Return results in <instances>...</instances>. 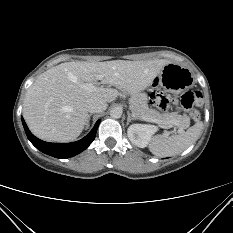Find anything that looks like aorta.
I'll use <instances>...</instances> for the list:
<instances>
[{"label": "aorta", "mask_w": 233, "mask_h": 233, "mask_svg": "<svg viewBox=\"0 0 233 233\" xmlns=\"http://www.w3.org/2000/svg\"><path fill=\"white\" fill-rule=\"evenodd\" d=\"M110 116L114 119H118L122 116V109L119 107H114L110 111Z\"/></svg>", "instance_id": "aorta-1"}]
</instances>
